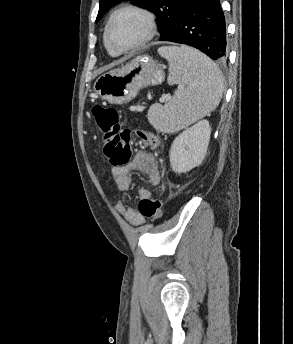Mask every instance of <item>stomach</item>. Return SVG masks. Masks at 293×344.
Listing matches in <instances>:
<instances>
[{
	"mask_svg": "<svg viewBox=\"0 0 293 344\" xmlns=\"http://www.w3.org/2000/svg\"><path fill=\"white\" fill-rule=\"evenodd\" d=\"M163 80V67L150 57L140 56L99 76L94 89L102 99L124 104L134 99L143 87L160 84Z\"/></svg>",
	"mask_w": 293,
	"mask_h": 344,
	"instance_id": "obj_1",
	"label": "stomach"
}]
</instances>
